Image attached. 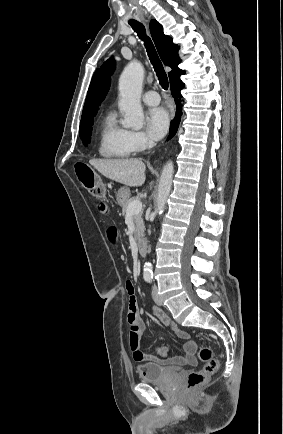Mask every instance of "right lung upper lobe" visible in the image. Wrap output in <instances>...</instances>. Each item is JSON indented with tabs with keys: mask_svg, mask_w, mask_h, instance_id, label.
<instances>
[{
	"mask_svg": "<svg viewBox=\"0 0 283 434\" xmlns=\"http://www.w3.org/2000/svg\"><path fill=\"white\" fill-rule=\"evenodd\" d=\"M150 32L163 63L172 68L168 73L170 81L179 74H184L178 68L180 57L179 46L173 44L172 38L163 33V27L155 19L150 22ZM115 69V61L110 58L94 73L87 93L80 124L93 121L98 111V105L105 98L110 86V75Z\"/></svg>",
	"mask_w": 283,
	"mask_h": 434,
	"instance_id": "cb5924a9",
	"label": "right lung upper lobe"
}]
</instances>
